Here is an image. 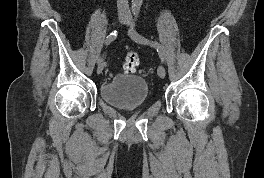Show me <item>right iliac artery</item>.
<instances>
[{"mask_svg":"<svg viewBox=\"0 0 264 178\" xmlns=\"http://www.w3.org/2000/svg\"><path fill=\"white\" fill-rule=\"evenodd\" d=\"M117 34H118L117 30H114L112 33H110V34L107 36L106 40H105V45H109L112 41H114V40L116 39V37H117ZM102 62H103V58L100 57V58L98 59V64H100V63H102Z\"/></svg>","mask_w":264,"mask_h":178,"instance_id":"obj_1","label":"right iliac artery"}]
</instances>
